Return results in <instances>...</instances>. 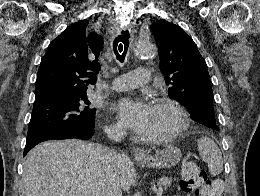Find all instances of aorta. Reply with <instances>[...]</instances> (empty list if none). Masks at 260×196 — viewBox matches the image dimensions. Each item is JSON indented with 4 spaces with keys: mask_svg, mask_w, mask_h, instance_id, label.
Wrapping results in <instances>:
<instances>
[{
    "mask_svg": "<svg viewBox=\"0 0 260 196\" xmlns=\"http://www.w3.org/2000/svg\"><path fill=\"white\" fill-rule=\"evenodd\" d=\"M134 53L138 57H153L156 53V48L150 42H139L135 46Z\"/></svg>",
    "mask_w": 260,
    "mask_h": 196,
    "instance_id": "obj_1",
    "label": "aorta"
}]
</instances>
